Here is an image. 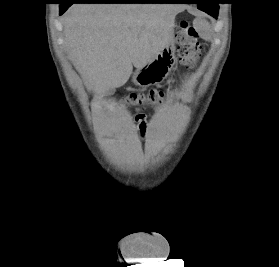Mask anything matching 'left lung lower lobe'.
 Returning a JSON list of instances; mask_svg holds the SVG:
<instances>
[{
	"mask_svg": "<svg viewBox=\"0 0 279 267\" xmlns=\"http://www.w3.org/2000/svg\"><path fill=\"white\" fill-rule=\"evenodd\" d=\"M175 3H197L199 10L204 11L213 17L218 15V0H179Z\"/></svg>",
	"mask_w": 279,
	"mask_h": 267,
	"instance_id": "1",
	"label": "left lung lower lobe"
}]
</instances>
